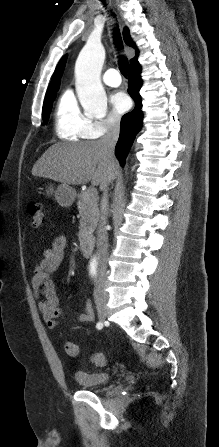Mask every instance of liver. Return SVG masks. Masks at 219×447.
Masks as SVG:
<instances>
[{
	"mask_svg": "<svg viewBox=\"0 0 219 447\" xmlns=\"http://www.w3.org/2000/svg\"><path fill=\"white\" fill-rule=\"evenodd\" d=\"M118 163L109 160L100 140L79 143H57L38 159L32 175L46 177L65 185H93L110 183L116 175Z\"/></svg>",
	"mask_w": 219,
	"mask_h": 447,
	"instance_id": "liver-1",
	"label": "liver"
}]
</instances>
